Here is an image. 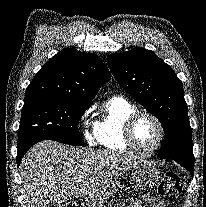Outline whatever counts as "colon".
Masks as SVG:
<instances>
[{
  "mask_svg": "<svg viewBox=\"0 0 206 207\" xmlns=\"http://www.w3.org/2000/svg\"><path fill=\"white\" fill-rule=\"evenodd\" d=\"M182 191L179 175L174 171L166 172L158 185V193L168 199L179 200L182 196ZM62 207H74V205L64 204Z\"/></svg>",
  "mask_w": 206,
  "mask_h": 207,
  "instance_id": "5ec220e1",
  "label": "colon"
}]
</instances>
